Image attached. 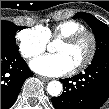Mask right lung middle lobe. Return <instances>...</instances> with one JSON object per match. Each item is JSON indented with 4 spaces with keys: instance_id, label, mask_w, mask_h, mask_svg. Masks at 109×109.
Masks as SVG:
<instances>
[{
    "instance_id": "1",
    "label": "right lung middle lobe",
    "mask_w": 109,
    "mask_h": 109,
    "mask_svg": "<svg viewBox=\"0 0 109 109\" xmlns=\"http://www.w3.org/2000/svg\"><path fill=\"white\" fill-rule=\"evenodd\" d=\"M25 27L16 26L9 21H1V49L9 51H18L15 43V34L17 30Z\"/></svg>"
}]
</instances>
